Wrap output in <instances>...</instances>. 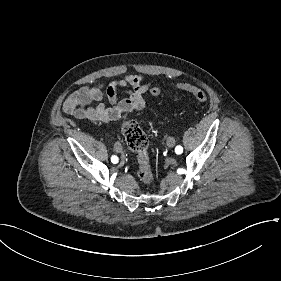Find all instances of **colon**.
Segmentation results:
<instances>
[{
	"label": "colon",
	"mask_w": 281,
	"mask_h": 281,
	"mask_svg": "<svg viewBox=\"0 0 281 281\" xmlns=\"http://www.w3.org/2000/svg\"><path fill=\"white\" fill-rule=\"evenodd\" d=\"M179 87L183 91L186 90L189 93L191 92L195 100L200 103L208 101L207 94L204 91L198 90L194 85H187L183 82ZM151 93L157 95L160 93V90L158 88H152ZM121 131L128 145L137 155V176L143 182L151 181L153 179V174L151 170L147 135L140 129L136 121L127 119L122 123Z\"/></svg>",
	"instance_id": "5ec220e1"
}]
</instances>
